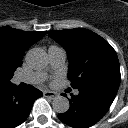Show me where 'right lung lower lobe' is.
<instances>
[{
	"label": "right lung lower lobe",
	"mask_w": 128,
	"mask_h": 128,
	"mask_svg": "<svg viewBox=\"0 0 128 128\" xmlns=\"http://www.w3.org/2000/svg\"><path fill=\"white\" fill-rule=\"evenodd\" d=\"M42 92L29 85L19 90L11 82L0 85V128H15L23 123Z\"/></svg>",
	"instance_id": "98d812e1"
}]
</instances>
